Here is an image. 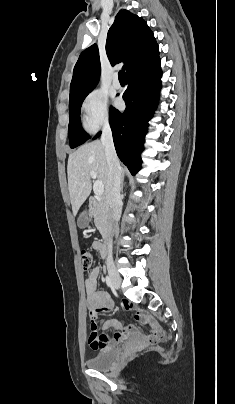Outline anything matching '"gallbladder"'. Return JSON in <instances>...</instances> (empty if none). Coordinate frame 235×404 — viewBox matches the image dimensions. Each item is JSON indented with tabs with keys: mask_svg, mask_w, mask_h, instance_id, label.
I'll use <instances>...</instances> for the list:
<instances>
[{
	"mask_svg": "<svg viewBox=\"0 0 235 404\" xmlns=\"http://www.w3.org/2000/svg\"><path fill=\"white\" fill-rule=\"evenodd\" d=\"M77 223H78V226H79L80 228H85V227H87V225H88V223H89V216H88L87 212H83V213L79 216Z\"/></svg>",
	"mask_w": 235,
	"mask_h": 404,
	"instance_id": "bac80fb5",
	"label": "gallbladder"
}]
</instances>
